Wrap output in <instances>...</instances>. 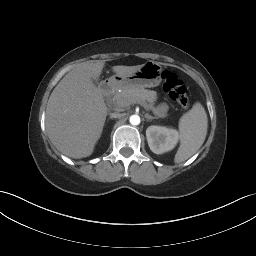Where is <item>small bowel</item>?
<instances>
[{
  "label": "small bowel",
  "mask_w": 256,
  "mask_h": 256,
  "mask_svg": "<svg viewBox=\"0 0 256 256\" xmlns=\"http://www.w3.org/2000/svg\"><path fill=\"white\" fill-rule=\"evenodd\" d=\"M157 112L160 114V115H165L166 112H167V106L162 104L160 105L158 108H157Z\"/></svg>",
  "instance_id": "obj_1"
}]
</instances>
